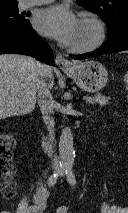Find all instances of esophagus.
Listing matches in <instances>:
<instances>
[{"instance_id": "obj_1", "label": "esophagus", "mask_w": 128, "mask_h": 213, "mask_svg": "<svg viewBox=\"0 0 128 213\" xmlns=\"http://www.w3.org/2000/svg\"><path fill=\"white\" fill-rule=\"evenodd\" d=\"M55 63L62 70H70L73 68L72 63L60 54L55 56Z\"/></svg>"}]
</instances>
